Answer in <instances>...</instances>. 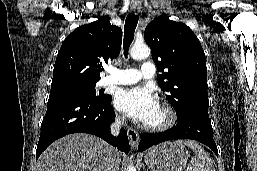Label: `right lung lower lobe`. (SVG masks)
I'll list each match as a JSON object with an SVG mask.
<instances>
[{"instance_id": "1", "label": "right lung lower lobe", "mask_w": 257, "mask_h": 171, "mask_svg": "<svg viewBox=\"0 0 257 171\" xmlns=\"http://www.w3.org/2000/svg\"><path fill=\"white\" fill-rule=\"evenodd\" d=\"M111 96L97 100L81 94L51 96L41 124V133L36 150V160L55 140L71 133L96 135L120 151L129 152L127 133L121 129L116 138L109 132V125L115 119Z\"/></svg>"}]
</instances>
